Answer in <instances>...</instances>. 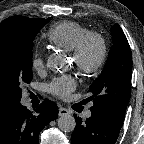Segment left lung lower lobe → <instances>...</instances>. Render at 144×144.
Instances as JSON below:
<instances>
[{
    "label": "left lung lower lobe",
    "instance_id": "left-lung-lower-lobe-1",
    "mask_svg": "<svg viewBox=\"0 0 144 144\" xmlns=\"http://www.w3.org/2000/svg\"><path fill=\"white\" fill-rule=\"evenodd\" d=\"M91 117L86 121L76 118V127L71 136V144H115L123 120L102 110L90 109Z\"/></svg>",
    "mask_w": 144,
    "mask_h": 144
}]
</instances>
